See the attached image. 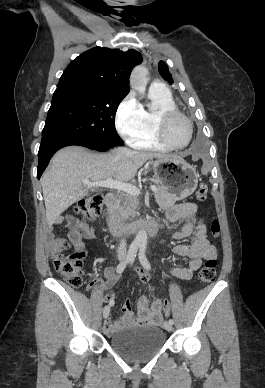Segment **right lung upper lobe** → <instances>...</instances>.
Instances as JSON below:
<instances>
[{
	"label": "right lung upper lobe",
	"instance_id": "cb5924a9",
	"mask_svg": "<svg viewBox=\"0 0 265 388\" xmlns=\"http://www.w3.org/2000/svg\"><path fill=\"white\" fill-rule=\"evenodd\" d=\"M142 62L135 50L94 47L73 60L54 93L72 90L118 91L128 94L132 69Z\"/></svg>",
	"mask_w": 265,
	"mask_h": 388
}]
</instances>
